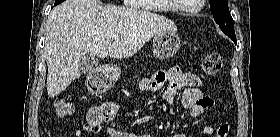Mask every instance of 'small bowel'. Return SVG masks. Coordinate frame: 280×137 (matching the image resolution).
<instances>
[{
    "mask_svg": "<svg viewBox=\"0 0 280 137\" xmlns=\"http://www.w3.org/2000/svg\"><path fill=\"white\" fill-rule=\"evenodd\" d=\"M165 84L167 86L161 95V102L168 114H177L172 105L178 93H181L183 113L187 117H201L215 108V100L202 90V79L195 73L183 72L179 66L156 71L150 78L143 79L139 88L158 91ZM117 115L118 106L114 103L91 108L87 113L86 123L76 132V137H82L85 132L100 131L103 124L112 122ZM108 134L109 137H136L132 133L122 132L111 126L108 127ZM174 137L185 135L178 133Z\"/></svg>",
    "mask_w": 280,
    "mask_h": 137,
    "instance_id": "1",
    "label": "small bowel"
}]
</instances>
